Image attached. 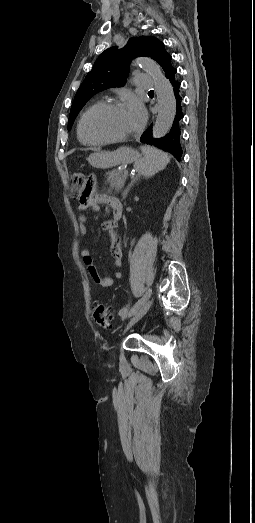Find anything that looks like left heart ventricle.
I'll return each instance as SVG.
<instances>
[{"label":"left heart ventricle","instance_id":"obj_1","mask_svg":"<svg viewBox=\"0 0 255 523\" xmlns=\"http://www.w3.org/2000/svg\"><path fill=\"white\" fill-rule=\"evenodd\" d=\"M85 128L91 136L109 138L131 135L136 132L137 124L133 110L126 104L95 110L88 116Z\"/></svg>","mask_w":255,"mask_h":523}]
</instances>
